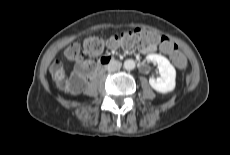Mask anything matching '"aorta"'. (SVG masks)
<instances>
[{"instance_id":"obj_1","label":"aorta","mask_w":230,"mask_h":155,"mask_svg":"<svg viewBox=\"0 0 230 155\" xmlns=\"http://www.w3.org/2000/svg\"><path fill=\"white\" fill-rule=\"evenodd\" d=\"M135 66H136V63H135V61L132 60V59H128V60H126V61L124 62V68H125L126 70H133V69L135 68Z\"/></svg>"}]
</instances>
